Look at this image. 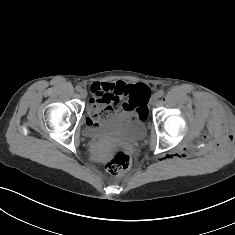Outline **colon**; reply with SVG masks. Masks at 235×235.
I'll return each mask as SVG.
<instances>
[{
    "instance_id": "colon-1",
    "label": "colon",
    "mask_w": 235,
    "mask_h": 235,
    "mask_svg": "<svg viewBox=\"0 0 235 235\" xmlns=\"http://www.w3.org/2000/svg\"><path fill=\"white\" fill-rule=\"evenodd\" d=\"M149 93V88L146 85L138 84L131 89V94L126 99V107L133 110H139L143 115H146V98ZM112 117V112L108 108L100 110L96 115L90 117L88 122L91 125L105 123ZM131 166V158L126 151L117 148L111 153L107 163V171L113 178L123 176Z\"/></svg>"
}]
</instances>
